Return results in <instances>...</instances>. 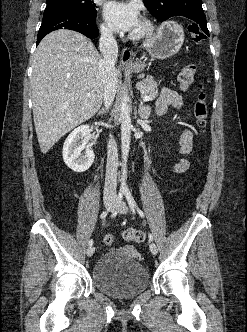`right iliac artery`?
Here are the masks:
<instances>
[{
    "label": "right iliac artery",
    "mask_w": 247,
    "mask_h": 332,
    "mask_svg": "<svg viewBox=\"0 0 247 332\" xmlns=\"http://www.w3.org/2000/svg\"><path fill=\"white\" fill-rule=\"evenodd\" d=\"M122 198H123V192L120 191L118 196H117V199H116V204L117 205H119L121 203ZM107 214H108V211L102 212L101 215H100V218L105 219ZM88 245H89V247H91L93 245V240L92 239L89 240Z\"/></svg>",
    "instance_id": "obj_1"
}]
</instances>
